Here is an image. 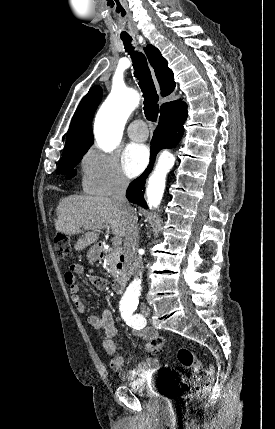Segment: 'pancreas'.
<instances>
[{"mask_svg":"<svg viewBox=\"0 0 275 429\" xmlns=\"http://www.w3.org/2000/svg\"><path fill=\"white\" fill-rule=\"evenodd\" d=\"M118 258V252H111L106 259V267L114 278L120 275V271L117 269Z\"/></svg>","mask_w":275,"mask_h":429,"instance_id":"obj_1","label":"pancreas"}]
</instances>
